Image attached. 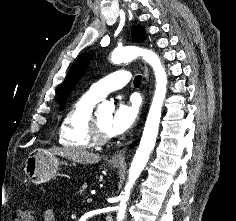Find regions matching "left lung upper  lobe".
<instances>
[{
  "mask_svg": "<svg viewBox=\"0 0 236 221\" xmlns=\"http://www.w3.org/2000/svg\"><path fill=\"white\" fill-rule=\"evenodd\" d=\"M132 37L136 42H141L146 38L145 30L142 26L134 25L132 28ZM91 55L85 54L81 56L70 68L65 80L61 84L58 93V101L61 104H65L68 95L76 86V84L80 81L82 76L85 74L88 65L90 63Z\"/></svg>",
  "mask_w": 236,
  "mask_h": 221,
  "instance_id": "5c2ea615",
  "label": "left lung upper lobe"
}]
</instances>
